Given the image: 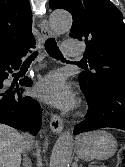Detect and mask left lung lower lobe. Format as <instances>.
<instances>
[{"instance_id": "1", "label": "left lung lower lobe", "mask_w": 125, "mask_h": 167, "mask_svg": "<svg viewBox=\"0 0 125 167\" xmlns=\"http://www.w3.org/2000/svg\"><path fill=\"white\" fill-rule=\"evenodd\" d=\"M86 97L88 116L75 126L74 135L105 127L125 130V85H105Z\"/></svg>"}]
</instances>
